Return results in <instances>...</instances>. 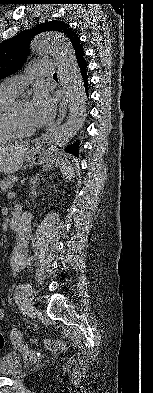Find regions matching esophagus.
Returning <instances> with one entry per match:
<instances>
[{
    "instance_id": "esophagus-1",
    "label": "esophagus",
    "mask_w": 153,
    "mask_h": 393,
    "mask_svg": "<svg viewBox=\"0 0 153 393\" xmlns=\"http://www.w3.org/2000/svg\"><path fill=\"white\" fill-rule=\"evenodd\" d=\"M66 111H67L66 102L63 101V102L60 103L58 118L55 121V123L52 125V127H56V126H58L59 124L62 123L63 119L66 116Z\"/></svg>"
}]
</instances>
